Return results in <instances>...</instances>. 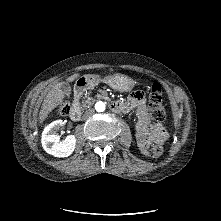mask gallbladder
I'll use <instances>...</instances> for the list:
<instances>
[{
  "label": "gallbladder",
  "mask_w": 221,
  "mask_h": 221,
  "mask_svg": "<svg viewBox=\"0 0 221 221\" xmlns=\"http://www.w3.org/2000/svg\"><path fill=\"white\" fill-rule=\"evenodd\" d=\"M61 89L63 90V92L66 94V95H70L71 94V86L67 83V82H63L62 85H61Z\"/></svg>",
  "instance_id": "bac80fb5"
}]
</instances>
